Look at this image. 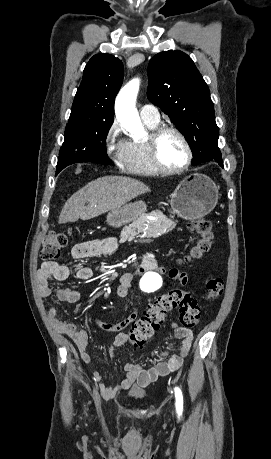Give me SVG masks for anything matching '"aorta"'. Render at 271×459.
<instances>
[{"label": "aorta", "mask_w": 271, "mask_h": 459, "mask_svg": "<svg viewBox=\"0 0 271 459\" xmlns=\"http://www.w3.org/2000/svg\"><path fill=\"white\" fill-rule=\"evenodd\" d=\"M139 83V79H134L120 90L115 102V113L118 121L126 130L137 136H142L144 128L135 107ZM162 282L159 273L148 271L140 279L139 286L144 292H154L161 287Z\"/></svg>", "instance_id": "aorta-1"}]
</instances>
